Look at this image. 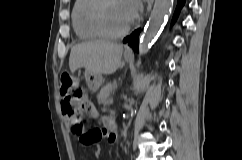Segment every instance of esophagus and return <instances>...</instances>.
I'll return each instance as SVG.
<instances>
[{"label": "esophagus", "mask_w": 242, "mask_h": 160, "mask_svg": "<svg viewBox=\"0 0 242 160\" xmlns=\"http://www.w3.org/2000/svg\"><path fill=\"white\" fill-rule=\"evenodd\" d=\"M125 52L126 53H132V50L129 47H126Z\"/></svg>", "instance_id": "1"}]
</instances>
